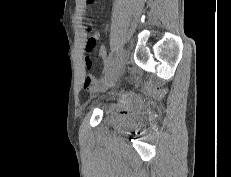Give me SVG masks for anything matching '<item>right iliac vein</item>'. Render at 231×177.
Wrapping results in <instances>:
<instances>
[{"mask_svg": "<svg viewBox=\"0 0 231 177\" xmlns=\"http://www.w3.org/2000/svg\"><path fill=\"white\" fill-rule=\"evenodd\" d=\"M122 63H123V56L122 53H119L115 58V60L113 61L111 68L104 76L102 80V84L96 90H101V91L106 90L115 83V81L119 77Z\"/></svg>", "mask_w": 231, "mask_h": 177, "instance_id": "obj_1", "label": "right iliac vein"}]
</instances>
